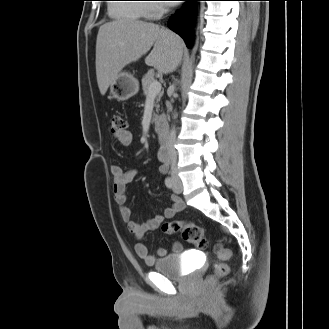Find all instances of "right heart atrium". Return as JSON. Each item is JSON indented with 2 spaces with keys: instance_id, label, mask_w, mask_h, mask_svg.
<instances>
[{
  "instance_id": "1",
  "label": "right heart atrium",
  "mask_w": 329,
  "mask_h": 329,
  "mask_svg": "<svg viewBox=\"0 0 329 329\" xmlns=\"http://www.w3.org/2000/svg\"><path fill=\"white\" fill-rule=\"evenodd\" d=\"M151 2L153 3L149 4L148 17L157 18L166 10V4L163 0H151Z\"/></svg>"
}]
</instances>
